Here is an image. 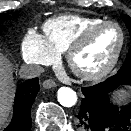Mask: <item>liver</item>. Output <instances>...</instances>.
<instances>
[{
  "label": "liver",
  "mask_w": 131,
  "mask_h": 131,
  "mask_svg": "<svg viewBox=\"0 0 131 131\" xmlns=\"http://www.w3.org/2000/svg\"><path fill=\"white\" fill-rule=\"evenodd\" d=\"M14 97L11 64L0 53V126L5 122Z\"/></svg>",
  "instance_id": "6515ba94"
}]
</instances>
